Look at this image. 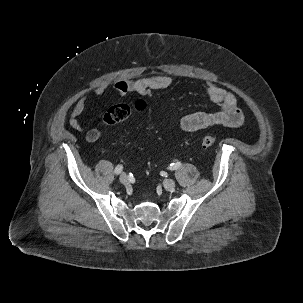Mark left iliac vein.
<instances>
[{
    "instance_id": "left-iliac-vein-1",
    "label": "left iliac vein",
    "mask_w": 303,
    "mask_h": 303,
    "mask_svg": "<svg viewBox=\"0 0 303 303\" xmlns=\"http://www.w3.org/2000/svg\"><path fill=\"white\" fill-rule=\"evenodd\" d=\"M163 186L168 191H173L176 186V182L173 179H166L163 182Z\"/></svg>"
}]
</instances>
